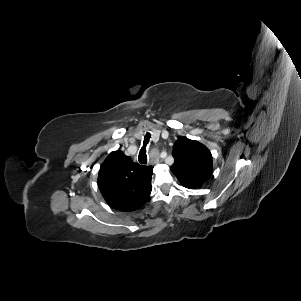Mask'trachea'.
<instances>
[{"label": "trachea", "instance_id": "obj_1", "mask_svg": "<svg viewBox=\"0 0 301 301\" xmlns=\"http://www.w3.org/2000/svg\"><path fill=\"white\" fill-rule=\"evenodd\" d=\"M151 137V134L147 132L145 135L144 141H143V146L139 152L138 160L141 164H147V155H146V145L148 144L149 138Z\"/></svg>", "mask_w": 301, "mask_h": 301}]
</instances>
